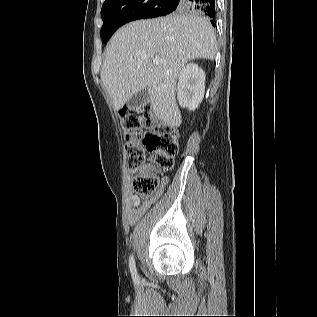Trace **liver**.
Here are the masks:
<instances>
[{"label": "liver", "instance_id": "6515ba94", "mask_svg": "<svg viewBox=\"0 0 317 317\" xmlns=\"http://www.w3.org/2000/svg\"><path fill=\"white\" fill-rule=\"evenodd\" d=\"M217 50L210 21L198 13L134 21L118 29L106 46L101 80L116 110L147 89L155 116L179 127L177 77L188 61L213 60ZM155 58L160 59L158 65L153 64Z\"/></svg>", "mask_w": 317, "mask_h": 317}]
</instances>
